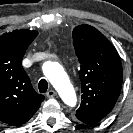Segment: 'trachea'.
I'll use <instances>...</instances> for the list:
<instances>
[{
    "label": "trachea",
    "instance_id": "obj_1",
    "mask_svg": "<svg viewBox=\"0 0 133 133\" xmlns=\"http://www.w3.org/2000/svg\"><path fill=\"white\" fill-rule=\"evenodd\" d=\"M39 91L45 93L48 89V82L45 79H41L38 84Z\"/></svg>",
    "mask_w": 133,
    "mask_h": 133
}]
</instances>
